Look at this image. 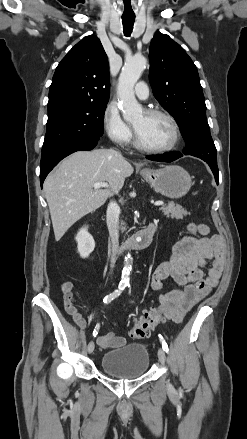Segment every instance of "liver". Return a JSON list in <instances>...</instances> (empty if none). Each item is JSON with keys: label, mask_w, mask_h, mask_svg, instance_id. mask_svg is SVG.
Instances as JSON below:
<instances>
[{"label": "liver", "mask_w": 247, "mask_h": 439, "mask_svg": "<svg viewBox=\"0 0 247 439\" xmlns=\"http://www.w3.org/2000/svg\"><path fill=\"white\" fill-rule=\"evenodd\" d=\"M133 173L131 164L112 149L78 151L64 159L44 182L55 240L79 219L101 207L112 190L121 189ZM105 182L107 188L92 184Z\"/></svg>", "instance_id": "obj_1"}]
</instances>
